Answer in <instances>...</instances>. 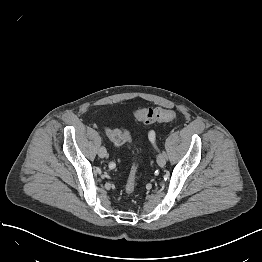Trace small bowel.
Here are the masks:
<instances>
[{
    "mask_svg": "<svg viewBox=\"0 0 262 262\" xmlns=\"http://www.w3.org/2000/svg\"><path fill=\"white\" fill-rule=\"evenodd\" d=\"M149 137H150L152 144H155V132L154 131H150ZM109 168L113 170L115 168V166H112V167H109Z\"/></svg>",
    "mask_w": 262,
    "mask_h": 262,
    "instance_id": "obj_1",
    "label": "small bowel"
}]
</instances>
